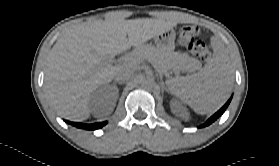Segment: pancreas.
<instances>
[{
	"instance_id": "cf45deb5",
	"label": "pancreas",
	"mask_w": 279,
	"mask_h": 166,
	"mask_svg": "<svg viewBox=\"0 0 279 166\" xmlns=\"http://www.w3.org/2000/svg\"><path fill=\"white\" fill-rule=\"evenodd\" d=\"M150 61L154 67L163 72L167 71H193L199 69L201 64L198 60L187 54L173 51H162L151 45H141L135 48L126 58L127 67L138 69L144 61Z\"/></svg>"
}]
</instances>
